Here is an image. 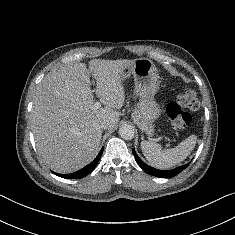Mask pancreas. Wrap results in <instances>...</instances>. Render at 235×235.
<instances>
[{
	"instance_id": "cf45deb5",
	"label": "pancreas",
	"mask_w": 235,
	"mask_h": 235,
	"mask_svg": "<svg viewBox=\"0 0 235 235\" xmlns=\"http://www.w3.org/2000/svg\"><path fill=\"white\" fill-rule=\"evenodd\" d=\"M132 119L137 123V125H138L142 130H144V131H146V132H151V131L149 130V128L146 127V126L142 123V121H141V116H140V113H139L138 111H135V112L133 113Z\"/></svg>"
}]
</instances>
